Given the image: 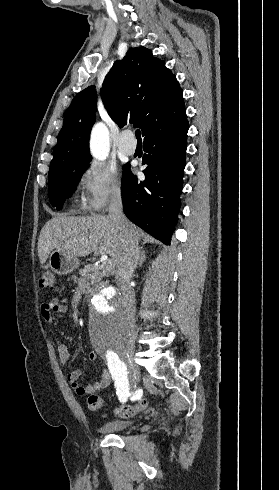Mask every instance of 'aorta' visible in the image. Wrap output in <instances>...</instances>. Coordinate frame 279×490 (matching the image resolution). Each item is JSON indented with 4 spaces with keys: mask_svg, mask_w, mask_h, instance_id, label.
<instances>
[{
    "mask_svg": "<svg viewBox=\"0 0 279 490\" xmlns=\"http://www.w3.org/2000/svg\"><path fill=\"white\" fill-rule=\"evenodd\" d=\"M109 148V131L103 123H98L90 136L91 154L98 160H105ZM88 329L91 342L103 354L110 353L131 339L126 310L114 288L105 287L92 296Z\"/></svg>",
    "mask_w": 279,
    "mask_h": 490,
    "instance_id": "aorta-1",
    "label": "aorta"
}]
</instances>
